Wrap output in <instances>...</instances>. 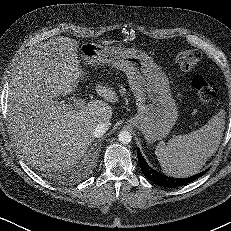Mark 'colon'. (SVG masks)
<instances>
[{"label": "colon", "instance_id": "1", "mask_svg": "<svg viewBox=\"0 0 231 231\" xmlns=\"http://www.w3.org/2000/svg\"><path fill=\"white\" fill-rule=\"evenodd\" d=\"M199 60L200 54L197 51H181L176 56V64L182 71L194 69ZM191 85L202 103L208 106L213 103L216 96V87L213 81L202 76H196Z\"/></svg>", "mask_w": 231, "mask_h": 231}]
</instances>
